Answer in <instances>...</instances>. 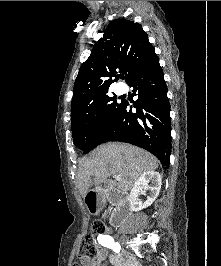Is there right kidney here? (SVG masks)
Returning <instances> with one entry per match:
<instances>
[{
    "label": "right kidney",
    "mask_w": 221,
    "mask_h": 266,
    "mask_svg": "<svg viewBox=\"0 0 221 266\" xmlns=\"http://www.w3.org/2000/svg\"><path fill=\"white\" fill-rule=\"evenodd\" d=\"M149 183L151 185L149 186ZM162 185V176L156 171L144 172L135 182L133 189L130 193V204L132 211H140L149 207L158 197ZM149 187L150 193L147 196V201L142 203L138 196L145 189Z\"/></svg>",
    "instance_id": "ca27d5eb"
}]
</instances>
